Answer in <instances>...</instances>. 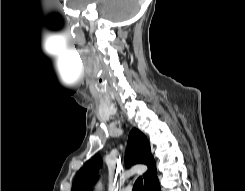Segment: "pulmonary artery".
<instances>
[{"label":"pulmonary artery","instance_id":"obj_1","mask_svg":"<svg viewBox=\"0 0 245 191\" xmlns=\"http://www.w3.org/2000/svg\"><path fill=\"white\" fill-rule=\"evenodd\" d=\"M123 191H131V188L130 187H127Z\"/></svg>","mask_w":245,"mask_h":191}]
</instances>
